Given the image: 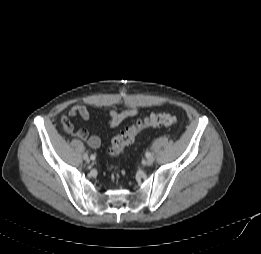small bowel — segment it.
I'll return each instance as SVG.
<instances>
[{"label":"small bowel","mask_w":261,"mask_h":254,"mask_svg":"<svg viewBox=\"0 0 261 254\" xmlns=\"http://www.w3.org/2000/svg\"><path fill=\"white\" fill-rule=\"evenodd\" d=\"M138 113H139V109L135 107L125 109L123 111L111 110L108 114V125L110 127H117L124 120L135 117L138 115ZM76 116L81 117L83 120H89L90 118L89 108L84 104L73 105L70 108L69 112L61 117V123L64 131L71 136H74L82 141L87 142L89 147H91L92 149L99 148L101 145V141L98 136L89 135L88 131L84 128L78 130L74 128L71 119Z\"/></svg>","instance_id":"c3829d8e"}]
</instances>
